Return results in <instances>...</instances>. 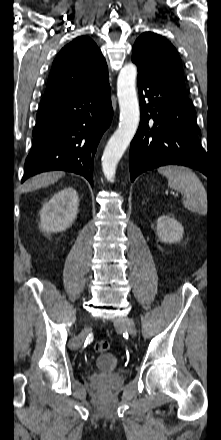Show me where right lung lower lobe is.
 <instances>
[{"instance_id":"obj_1","label":"right lung lower lobe","mask_w":221,"mask_h":440,"mask_svg":"<svg viewBox=\"0 0 221 440\" xmlns=\"http://www.w3.org/2000/svg\"><path fill=\"white\" fill-rule=\"evenodd\" d=\"M112 116L109 83L95 91L43 98L21 182L41 172L64 170L84 176L93 186L94 155Z\"/></svg>"}]
</instances>
